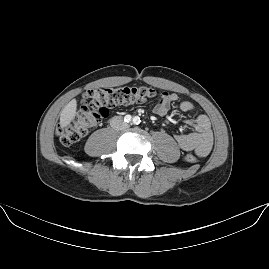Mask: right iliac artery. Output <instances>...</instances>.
Returning <instances> with one entry per match:
<instances>
[{
  "instance_id": "82829eb1",
  "label": "right iliac artery",
  "mask_w": 269,
  "mask_h": 269,
  "mask_svg": "<svg viewBox=\"0 0 269 269\" xmlns=\"http://www.w3.org/2000/svg\"><path fill=\"white\" fill-rule=\"evenodd\" d=\"M124 121H125L126 123H130V122L132 121V117H131V115H126L125 118H124Z\"/></svg>"
}]
</instances>
